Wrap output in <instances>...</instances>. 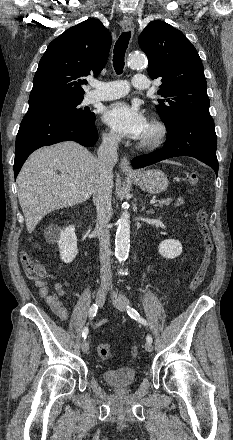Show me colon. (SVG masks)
I'll return each instance as SVG.
<instances>
[{
	"instance_id": "colon-1",
	"label": "colon",
	"mask_w": 233,
	"mask_h": 440,
	"mask_svg": "<svg viewBox=\"0 0 233 440\" xmlns=\"http://www.w3.org/2000/svg\"><path fill=\"white\" fill-rule=\"evenodd\" d=\"M188 180L191 185L196 186L199 184V175L193 172L189 175ZM196 219L200 234L203 239L204 255L198 270L196 271L189 284L190 291L196 290L205 280L211 264L214 249L211 233L207 224L208 215L206 210L203 208L199 209ZM20 258L26 276L36 283L44 282L46 273L43 266L40 263L34 261L27 252H23ZM97 352L99 356L105 360H109L113 356L111 346L106 343L99 344L97 347ZM137 353V349H134L132 352L134 356H136Z\"/></svg>"
}]
</instances>
